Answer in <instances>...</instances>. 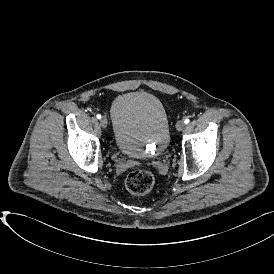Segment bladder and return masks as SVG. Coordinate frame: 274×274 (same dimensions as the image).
Returning a JSON list of instances; mask_svg holds the SVG:
<instances>
[{"instance_id":"1","label":"bladder","mask_w":274,"mask_h":274,"mask_svg":"<svg viewBox=\"0 0 274 274\" xmlns=\"http://www.w3.org/2000/svg\"><path fill=\"white\" fill-rule=\"evenodd\" d=\"M111 118L114 143L123 155L153 158L167 149L169 120L155 95L141 91L119 95L112 104Z\"/></svg>"}]
</instances>
